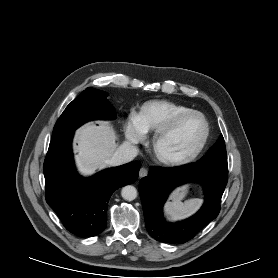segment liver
I'll list each match as a JSON object with an SVG mask.
<instances>
[{"mask_svg":"<svg viewBox=\"0 0 278 278\" xmlns=\"http://www.w3.org/2000/svg\"><path fill=\"white\" fill-rule=\"evenodd\" d=\"M117 136L107 122L87 123L76 132L74 152L76 165L84 176L110 165L113 153L116 151Z\"/></svg>","mask_w":278,"mask_h":278,"instance_id":"obj_1","label":"liver"}]
</instances>
